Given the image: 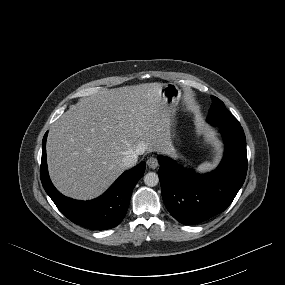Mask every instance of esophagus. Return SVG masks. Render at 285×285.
Masks as SVG:
<instances>
[{
  "mask_svg": "<svg viewBox=\"0 0 285 285\" xmlns=\"http://www.w3.org/2000/svg\"><path fill=\"white\" fill-rule=\"evenodd\" d=\"M147 165L151 169H156L159 165L158 159L156 157H150L147 160Z\"/></svg>",
  "mask_w": 285,
  "mask_h": 285,
  "instance_id": "1",
  "label": "esophagus"
}]
</instances>
